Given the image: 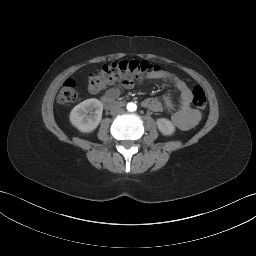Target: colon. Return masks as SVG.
Here are the masks:
<instances>
[{
    "instance_id": "1",
    "label": "colon",
    "mask_w": 256,
    "mask_h": 256,
    "mask_svg": "<svg viewBox=\"0 0 256 256\" xmlns=\"http://www.w3.org/2000/svg\"><path fill=\"white\" fill-rule=\"evenodd\" d=\"M158 66L147 61H115L105 64L95 73L90 74L88 86L92 92L100 91L106 84L123 79H138L152 77L159 73ZM77 99V83L69 78L64 83L58 95L60 103H70ZM192 103L197 109L207 105L205 91L201 86L192 89Z\"/></svg>"
}]
</instances>
